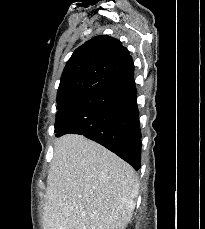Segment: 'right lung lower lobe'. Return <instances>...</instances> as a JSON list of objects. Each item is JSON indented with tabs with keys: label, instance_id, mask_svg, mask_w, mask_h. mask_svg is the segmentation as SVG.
<instances>
[{
	"label": "right lung lower lobe",
	"instance_id": "98d812e1",
	"mask_svg": "<svg viewBox=\"0 0 205 229\" xmlns=\"http://www.w3.org/2000/svg\"><path fill=\"white\" fill-rule=\"evenodd\" d=\"M131 56L117 70L75 97L56 114L57 137L81 134L128 162L141 165V132Z\"/></svg>",
	"mask_w": 205,
	"mask_h": 229
}]
</instances>
